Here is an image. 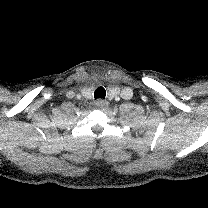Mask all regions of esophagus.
Returning a JSON list of instances; mask_svg holds the SVG:
<instances>
[{
  "label": "esophagus",
  "instance_id": "esophagus-1",
  "mask_svg": "<svg viewBox=\"0 0 208 208\" xmlns=\"http://www.w3.org/2000/svg\"><path fill=\"white\" fill-rule=\"evenodd\" d=\"M97 108H107L109 106V102L103 99H98L95 102Z\"/></svg>",
  "mask_w": 208,
  "mask_h": 208
}]
</instances>
